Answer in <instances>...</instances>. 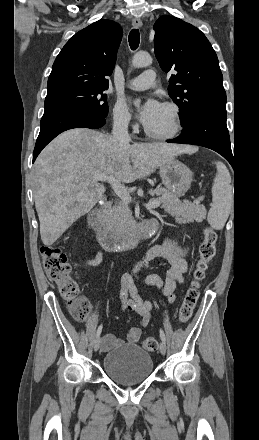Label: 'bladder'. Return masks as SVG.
I'll return each mask as SVG.
<instances>
[{
  "mask_svg": "<svg viewBox=\"0 0 259 440\" xmlns=\"http://www.w3.org/2000/svg\"><path fill=\"white\" fill-rule=\"evenodd\" d=\"M103 370L118 384L134 385L145 381L152 374L153 360L138 345H121L104 356Z\"/></svg>",
  "mask_w": 259,
  "mask_h": 440,
  "instance_id": "1",
  "label": "bladder"
}]
</instances>
